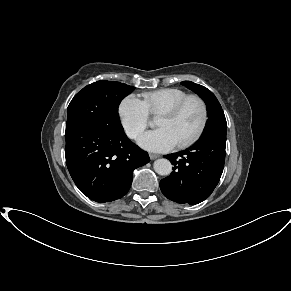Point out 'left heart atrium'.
I'll use <instances>...</instances> for the list:
<instances>
[{"label": "left heart atrium", "mask_w": 291, "mask_h": 291, "mask_svg": "<svg viewBox=\"0 0 291 291\" xmlns=\"http://www.w3.org/2000/svg\"><path fill=\"white\" fill-rule=\"evenodd\" d=\"M139 144L144 149L153 152L169 151L177 145L164 128H158L145 133L139 139Z\"/></svg>", "instance_id": "left-heart-atrium-1"}]
</instances>
